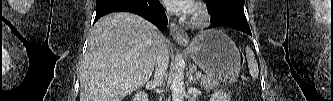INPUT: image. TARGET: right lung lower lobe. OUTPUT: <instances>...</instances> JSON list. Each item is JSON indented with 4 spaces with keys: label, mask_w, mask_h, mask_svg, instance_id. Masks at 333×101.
<instances>
[{
    "label": "right lung lower lobe",
    "mask_w": 333,
    "mask_h": 101,
    "mask_svg": "<svg viewBox=\"0 0 333 101\" xmlns=\"http://www.w3.org/2000/svg\"><path fill=\"white\" fill-rule=\"evenodd\" d=\"M111 12H131L152 22L160 29L168 24L163 6L158 0H96L94 22Z\"/></svg>",
    "instance_id": "obj_1"
}]
</instances>
